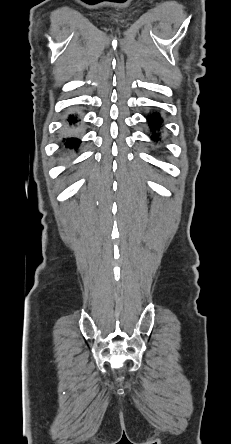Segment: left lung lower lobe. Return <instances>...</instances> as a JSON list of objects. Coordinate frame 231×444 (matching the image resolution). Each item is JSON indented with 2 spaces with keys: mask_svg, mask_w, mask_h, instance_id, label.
<instances>
[{
  "mask_svg": "<svg viewBox=\"0 0 231 444\" xmlns=\"http://www.w3.org/2000/svg\"><path fill=\"white\" fill-rule=\"evenodd\" d=\"M147 120H148L149 127L154 131V134H155V132L161 127L162 120H161L160 116L153 114L151 116H148ZM151 137H153V136H151ZM154 140L158 141L159 138H154Z\"/></svg>",
  "mask_w": 231,
  "mask_h": 444,
  "instance_id": "0a47b994",
  "label": "left lung lower lobe"
}]
</instances>
